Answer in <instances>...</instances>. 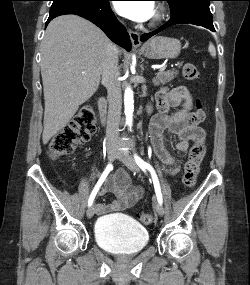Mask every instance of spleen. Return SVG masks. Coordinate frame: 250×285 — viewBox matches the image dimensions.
Segmentation results:
<instances>
[{
    "label": "spleen",
    "mask_w": 250,
    "mask_h": 285,
    "mask_svg": "<svg viewBox=\"0 0 250 285\" xmlns=\"http://www.w3.org/2000/svg\"><path fill=\"white\" fill-rule=\"evenodd\" d=\"M208 51L212 57L216 56V49L212 43L209 44Z\"/></svg>",
    "instance_id": "1"
}]
</instances>
